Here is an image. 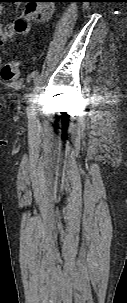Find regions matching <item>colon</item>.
I'll return each instance as SVG.
<instances>
[{
	"label": "colon",
	"mask_w": 127,
	"mask_h": 303,
	"mask_svg": "<svg viewBox=\"0 0 127 303\" xmlns=\"http://www.w3.org/2000/svg\"><path fill=\"white\" fill-rule=\"evenodd\" d=\"M20 63L18 61H10L2 69V77L6 81H14L19 77Z\"/></svg>",
	"instance_id": "colon-1"
}]
</instances>
